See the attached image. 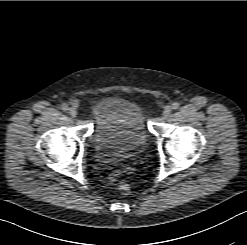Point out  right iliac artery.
I'll list each match as a JSON object with an SVG mask.
<instances>
[{"label":"right iliac artery","instance_id":"right-iliac-artery-1","mask_svg":"<svg viewBox=\"0 0 247 245\" xmlns=\"http://www.w3.org/2000/svg\"><path fill=\"white\" fill-rule=\"evenodd\" d=\"M62 110L68 111L69 110V106L67 104H63L62 105Z\"/></svg>","mask_w":247,"mask_h":245}]
</instances>
